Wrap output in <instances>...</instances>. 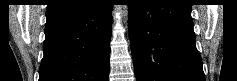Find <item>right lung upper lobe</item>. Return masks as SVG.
<instances>
[{
  "instance_id": "right-lung-upper-lobe-1",
  "label": "right lung upper lobe",
  "mask_w": 237,
  "mask_h": 81,
  "mask_svg": "<svg viewBox=\"0 0 237 81\" xmlns=\"http://www.w3.org/2000/svg\"><path fill=\"white\" fill-rule=\"evenodd\" d=\"M71 0H50V4L47 6V9L62 5Z\"/></svg>"
}]
</instances>
